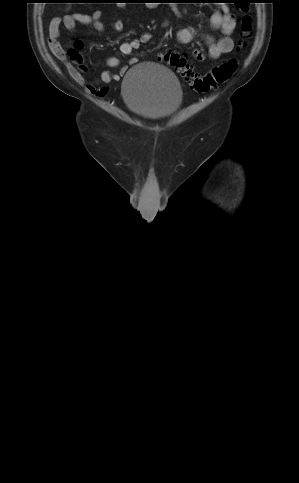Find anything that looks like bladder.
<instances>
[{
	"mask_svg": "<svg viewBox=\"0 0 299 483\" xmlns=\"http://www.w3.org/2000/svg\"><path fill=\"white\" fill-rule=\"evenodd\" d=\"M121 92L126 106L149 120L170 117L183 101V93L174 73L152 62H143L130 68L122 80Z\"/></svg>",
	"mask_w": 299,
	"mask_h": 483,
	"instance_id": "obj_1",
	"label": "bladder"
}]
</instances>
